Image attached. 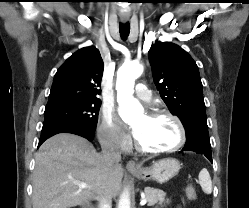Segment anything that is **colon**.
Returning <instances> with one entry per match:
<instances>
[{
  "instance_id": "5ec220e1",
  "label": "colon",
  "mask_w": 249,
  "mask_h": 208,
  "mask_svg": "<svg viewBox=\"0 0 249 208\" xmlns=\"http://www.w3.org/2000/svg\"><path fill=\"white\" fill-rule=\"evenodd\" d=\"M186 195L189 200H195L197 197V191L193 185H188L186 187Z\"/></svg>"
}]
</instances>
